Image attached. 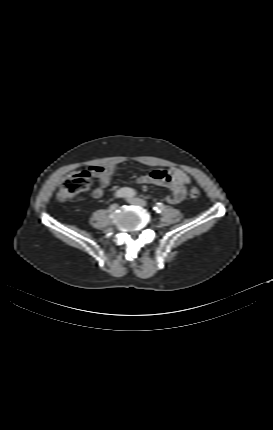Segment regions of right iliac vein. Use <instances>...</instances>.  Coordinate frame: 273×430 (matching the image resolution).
Masks as SVG:
<instances>
[{
    "label": "right iliac vein",
    "instance_id": "63e3f726",
    "mask_svg": "<svg viewBox=\"0 0 273 430\" xmlns=\"http://www.w3.org/2000/svg\"><path fill=\"white\" fill-rule=\"evenodd\" d=\"M117 208H118V205H117V204H112V205L109 207V212H113V211H115Z\"/></svg>",
    "mask_w": 273,
    "mask_h": 430
}]
</instances>
